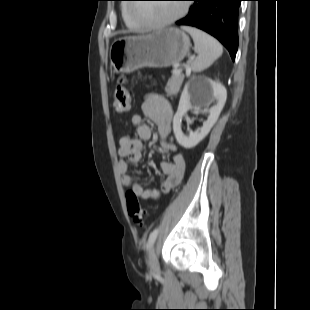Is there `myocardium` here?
Listing matches in <instances>:
<instances>
[{
    "label": "myocardium",
    "mask_w": 310,
    "mask_h": 310,
    "mask_svg": "<svg viewBox=\"0 0 310 310\" xmlns=\"http://www.w3.org/2000/svg\"><path fill=\"white\" fill-rule=\"evenodd\" d=\"M133 8L134 7L132 5H129L128 7V14L130 18L139 23L142 27L149 29H161L167 27L183 18L189 11V5L187 3H184L182 4L180 11L175 16L161 22H153L136 16L133 13Z\"/></svg>",
    "instance_id": "1"
}]
</instances>
